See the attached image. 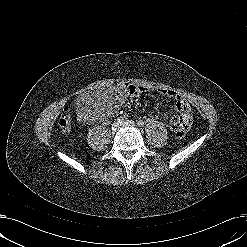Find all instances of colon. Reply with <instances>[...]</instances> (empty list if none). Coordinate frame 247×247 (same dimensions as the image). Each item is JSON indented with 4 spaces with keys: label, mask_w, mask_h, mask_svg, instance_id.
Returning <instances> with one entry per match:
<instances>
[{
    "label": "colon",
    "mask_w": 247,
    "mask_h": 247,
    "mask_svg": "<svg viewBox=\"0 0 247 247\" xmlns=\"http://www.w3.org/2000/svg\"><path fill=\"white\" fill-rule=\"evenodd\" d=\"M70 120H71V118H70L69 115H63L58 119V122H57L58 127L63 133L69 131V129H70ZM186 128H187V126L178 127L176 129V136L179 137V138L183 137L184 133L186 131Z\"/></svg>",
    "instance_id": "1"
}]
</instances>
